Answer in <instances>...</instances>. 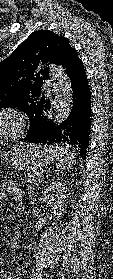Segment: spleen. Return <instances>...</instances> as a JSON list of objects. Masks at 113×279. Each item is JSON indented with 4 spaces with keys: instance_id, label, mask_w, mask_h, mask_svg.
I'll list each match as a JSON object with an SVG mask.
<instances>
[{
    "instance_id": "obj_1",
    "label": "spleen",
    "mask_w": 113,
    "mask_h": 279,
    "mask_svg": "<svg viewBox=\"0 0 113 279\" xmlns=\"http://www.w3.org/2000/svg\"><path fill=\"white\" fill-rule=\"evenodd\" d=\"M53 157L56 159V167L58 169L66 170L70 169L76 159L75 150L69 147L63 146H44Z\"/></svg>"
}]
</instances>
